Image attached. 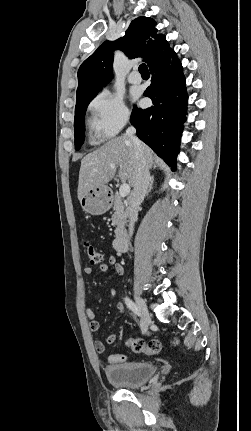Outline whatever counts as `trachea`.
Returning a JSON list of instances; mask_svg holds the SVG:
<instances>
[{"label": "trachea", "instance_id": "trachea-1", "mask_svg": "<svg viewBox=\"0 0 251 431\" xmlns=\"http://www.w3.org/2000/svg\"><path fill=\"white\" fill-rule=\"evenodd\" d=\"M139 72H140L141 74H149V70H148L147 65H146V64H141V65L139 66Z\"/></svg>", "mask_w": 251, "mask_h": 431}]
</instances>
